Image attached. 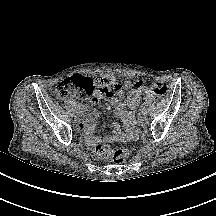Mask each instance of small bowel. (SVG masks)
Returning <instances> with one entry per match:
<instances>
[{
    "mask_svg": "<svg viewBox=\"0 0 216 216\" xmlns=\"http://www.w3.org/2000/svg\"><path fill=\"white\" fill-rule=\"evenodd\" d=\"M103 79L112 89L107 88L104 94L97 96L92 100L93 102H96L101 96L106 98L113 106L114 114L122 119L124 128L121 130L118 125H114L111 133L102 136L95 135L94 128L96 114L93 110L84 107L85 120L84 122L79 123V128L85 132L87 141L92 146H96L100 143L130 139L137 135L135 129V110L138 107L140 98L143 94L142 90L137 87L136 82H120L117 77L112 74L104 76ZM125 90H129V95L126 98L123 96Z\"/></svg>",
    "mask_w": 216,
    "mask_h": 216,
    "instance_id": "obj_1",
    "label": "small bowel"
}]
</instances>
